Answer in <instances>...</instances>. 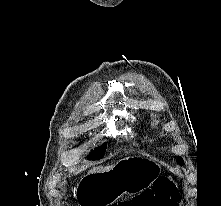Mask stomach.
Segmentation results:
<instances>
[{"mask_svg": "<svg viewBox=\"0 0 221 206\" xmlns=\"http://www.w3.org/2000/svg\"><path fill=\"white\" fill-rule=\"evenodd\" d=\"M160 165L153 159L133 156L116 163L108 172L86 175L88 184L78 194L79 206H109L124 194H134L150 187L159 176Z\"/></svg>", "mask_w": 221, "mask_h": 206, "instance_id": "stomach-1", "label": "stomach"}]
</instances>
